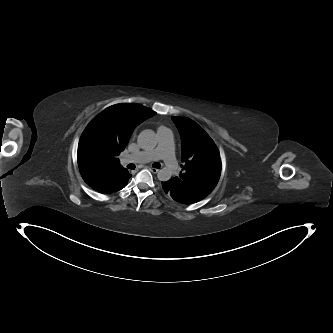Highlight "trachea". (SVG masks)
Segmentation results:
<instances>
[{"mask_svg":"<svg viewBox=\"0 0 333 333\" xmlns=\"http://www.w3.org/2000/svg\"><path fill=\"white\" fill-rule=\"evenodd\" d=\"M152 167H154V168H160V167H161V164L158 163V162H155V163L152 164ZM129 168L134 169L135 166H134V165H133V166H129Z\"/></svg>","mask_w":333,"mask_h":333,"instance_id":"obj_1","label":"trachea"}]
</instances>
